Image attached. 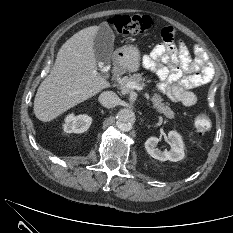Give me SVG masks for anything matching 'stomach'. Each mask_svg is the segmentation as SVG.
I'll use <instances>...</instances> for the list:
<instances>
[{"instance_id":"stomach-1","label":"stomach","mask_w":233,"mask_h":233,"mask_svg":"<svg viewBox=\"0 0 233 233\" xmlns=\"http://www.w3.org/2000/svg\"><path fill=\"white\" fill-rule=\"evenodd\" d=\"M117 62L128 71H137L140 66V53L136 45L129 44L117 51Z\"/></svg>"}]
</instances>
